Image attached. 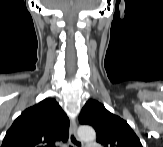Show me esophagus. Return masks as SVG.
<instances>
[{
    "instance_id": "obj_1",
    "label": "esophagus",
    "mask_w": 163,
    "mask_h": 147,
    "mask_svg": "<svg viewBox=\"0 0 163 147\" xmlns=\"http://www.w3.org/2000/svg\"><path fill=\"white\" fill-rule=\"evenodd\" d=\"M69 141L74 147H83V142L77 136V125L75 121H72L69 129Z\"/></svg>"
}]
</instances>
